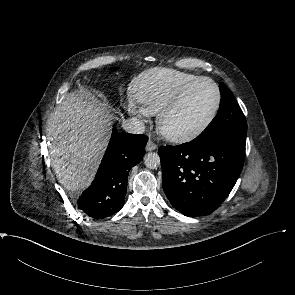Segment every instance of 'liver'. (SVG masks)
Here are the masks:
<instances>
[{
    "label": "liver",
    "instance_id": "liver-1",
    "mask_svg": "<svg viewBox=\"0 0 295 295\" xmlns=\"http://www.w3.org/2000/svg\"><path fill=\"white\" fill-rule=\"evenodd\" d=\"M110 120L98 101L82 93L68 94L50 115L52 166L66 189L82 191L91 184L109 141Z\"/></svg>",
    "mask_w": 295,
    "mask_h": 295
}]
</instances>
